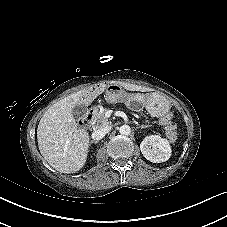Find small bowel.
I'll list each match as a JSON object with an SVG mask.
<instances>
[{
  "mask_svg": "<svg viewBox=\"0 0 227 227\" xmlns=\"http://www.w3.org/2000/svg\"><path fill=\"white\" fill-rule=\"evenodd\" d=\"M94 93H99V90H95ZM169 120V116L168 115H165L163 117H161L160 119V124H166Z\"/></svg>",
  "mask_w": 227,
  "mask_h": 227,
  "instance_id": "small-bowel-1",
  "label": "small bowel"
}]
</instances>
